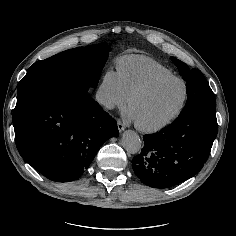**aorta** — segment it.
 Instances as JSON below:
<instances>
[{
    "instance_id": "aorta-1",
    "label": "aorta",
    "mask_w": 236,
    "mask_h": 236,
    "mask_svg": "<svg viewBox=\"0 0 236 236\" xmlns=\"http://www.w3.org/2000/svg\"><path fill=\"white\" fill-rule=\"evenodd\" d=\"M122 146L128 153L137 154L142 148V141L136 132L127 130L122 135Z\"/></svg>"
}]
</instances>
